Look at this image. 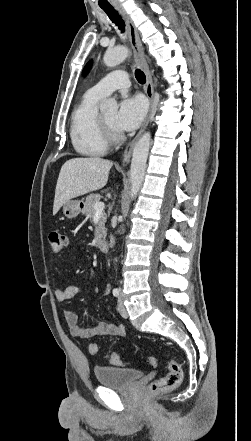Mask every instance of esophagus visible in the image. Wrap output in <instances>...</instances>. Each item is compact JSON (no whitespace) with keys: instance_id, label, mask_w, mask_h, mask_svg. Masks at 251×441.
<instances>
[{"instance_id":"34e87169","label":"esophagus","mask_w":251,"mask_h":441,"mask_svg":"<svg viewBox=\"0 0 251 441\" xmlns=\"http://www.w3.org/2000/svg\"><path fill=\"white\" fill-rule=\"evenodd\" d=\"M119 12L122 14V16L126 22L128 34H129V40H130L131 46L134 50V53L136 55L137 61L139 62L141 68L143 69V71L146 75L145 92H146V95L149 99V104H150L148 114H147L139 132L134 137V139L126 146V148L124 150V155H123V160H122V165H124L125 163L129 162L136 143L138 142L139 138L141 137L142 133L144 132L145 128L148 125L151 113L153 111L154 87H153L152 74H151L149 67H148V64H147V60L145 57L142 43L140 41L138 30L135 27L130 16L124 11V9L120 8Z\"/></svg>"}]
</instances>
